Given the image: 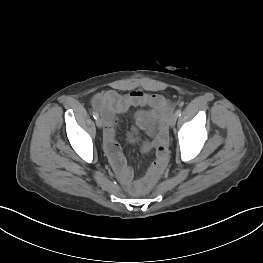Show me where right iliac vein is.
<instances>
[{
    "label": "right iliac vein",
    "mask_w": 263,
    "mask_h": 263,
    "mask_svg": "<svg viewBox=\"0 0 263 263\" xmlns=\"http://www.w3.org/2000/svg\"><path fill=\"white\" fill-rule=\"evenodd\" d=\"M96 125L97 127L101 128L103 126V121L101 118L96 119Z\"/></svg>",
    "instance_id": "1"
}]
</instances>
